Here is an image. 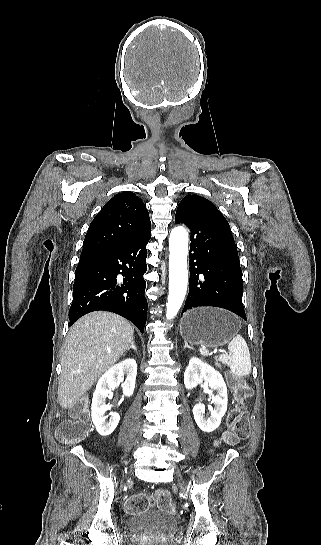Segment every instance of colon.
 I'll return each mask as SVG.
<instances>
[{
	"label": "colon",
	"instance_id": "1",
	"mask_svg": "<svg viewBox=\"0 0 321 545\" xmlns=\"http://www.w3.org/2000/svg\"><path fill=\"white\" fill-rule=\"evenodd\" d=\"M231 385L237 405L229 419V430L224 434L223 440L229 445H235L246 439L250 432V419L248 412L244 409V400L250 396L249 386L241 379L230 375ZM71 419L62 423L58 430V439L66 444L81 442L89 430V414L85 403H80L71 409ZM158 505L168 513H174L175 507L170 497L164 491L157 494L140 493L129 497L124 508L129 513H135L150 509Z\"/></svg>",
	"mask_w": 321,
	"mask_h": 545
}]
</instances>
